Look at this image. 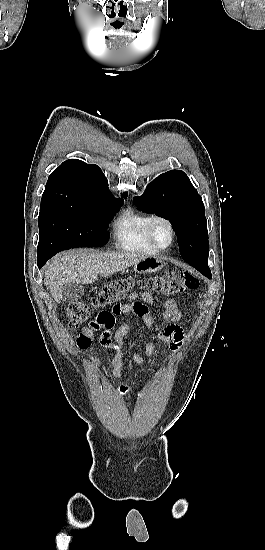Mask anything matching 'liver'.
<instances>
[{"instance_id": "6515ba94", "label": "liver", "mask_w": 265, "mask_h": 550, "mask_svg": "<svg viewBox=\"0 0 265 550\" xmlns=\"http://www.w3.org/2000/svg\"><path fill=\"white\" fill-rule=\"evenodd\" d=\"M146 256L133 253H99L74 249L56 255L46 266L44 283L57 303L67 283L91 284L98 275L107 277L130 267Z\"/></svg>"}]
</instances>
